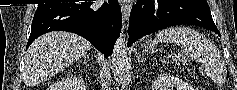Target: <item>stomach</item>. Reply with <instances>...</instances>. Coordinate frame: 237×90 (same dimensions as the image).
<instances>
[{"label": "stomach", "mask_w": 237, "mask_h": 90, "mask_svg": "<svg viewBox=\"0 0 237 90\" xmlns=\"http://www.w3.org/2000/svg\"><path fill=\"white\" fill-rule=\"evenodd\" d=\"M152 47H153V43L149 41L143 44V48L145 51H149Z\"/></svg>", "instance_id": "stomach-1"}]
</instances>
